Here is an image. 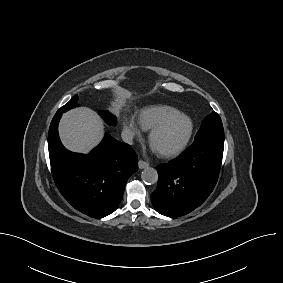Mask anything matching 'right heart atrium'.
<instances>
[{"instance_id": "obj_1", "label": "right heart atrium", "mask_w": 283, "mask_h": 283, "mask_svg": "<svg viewBox=\"0 0 283 283\" xmlns=\"http://www.w3.org/2000/svg\"><path fill=\"white\" fill-rule=\"evenodd\" d=\"M123 129L128 139L139 138L143 134V127L140 122L132 116L124 119Z\"/></svg>"}]
</instances>
